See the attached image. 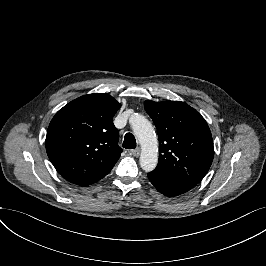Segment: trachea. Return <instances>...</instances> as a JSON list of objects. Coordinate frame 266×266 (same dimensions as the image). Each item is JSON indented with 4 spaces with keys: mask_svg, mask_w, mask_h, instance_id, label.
Masks as SVG:
<instances>
[{
    "mask_svg": "<svg viewBox=\"0 0 266 266\" xmlns=\"http://www.w3.org/2000/svg\"><path fill=\"white\" fill-rule=\"evenodd\" d=\"M123 147L126 149L136 148L135 137L131 133H127L124 137Z\"/></svg>",
    "mask_w": 266,
    "mask_h": 266,
    "instance_id": "trachea-1",
    "label": "trachea"
}]
</instances>
